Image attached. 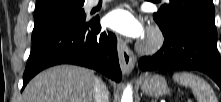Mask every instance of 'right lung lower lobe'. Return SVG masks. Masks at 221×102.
Listing matches in <instances>:
<instances>
[{
  "instance_id": "right-lung-lower-lobe-1",
  "label": "right lung lower lobe",
  "mask_w": 221,
  "mask_h": 102,
  "mask_svg": "<svg viewBox=\"0 0 221 102\" xmlns=\"http://www.w3.org/2000/svg\"><path fill=\"white\" fill-rule=\"evenodd\" d=\"M32 44L23 74V88L37 73L58 64L85 66L116 82L121 80L117 39L113 33L101 30L98 17L56 27Z\"/></svg>"
}]
</instances>
